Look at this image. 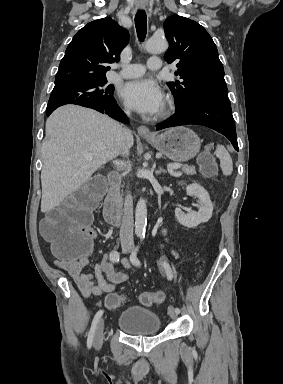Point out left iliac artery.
Segmentation results:
<instances>
[{
  "label": "left iliac artery",
  "mask_w": 283,
  "mask_h": 384,
  "mask_svg": "<svg viewBox=\"0 0 283 384\" xmlns=\"http://www.w3.org/2000/svg\"><path fill=\"white\" fill-rule=\"evenodd\" d=\"M141 241H142V239H141ZM139 248H140V244L135 248V250L130 255V261L135 266L141 265L140 260L137 258V252H138ZM162 266L164 267V270L166 272L168 280H172L173 272H172L170 265L167 262H162ZM175 311L177 314L180 313V309L178 307L175 308Z\"/></svg>",
  "instance_id": "obj_1"
}]
</instances>
